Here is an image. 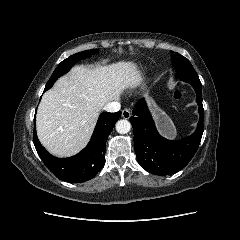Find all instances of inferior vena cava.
<instances>
[{
  "label": "inferior vena cava",
  "mask_w": 240,
  "mask_h": 240,
  "mask_svg": "<svg viewBox=\"0 0 240 240\" xmlns=\"http://www.w3.org/2000/svg\"><path fill=\"white\" fill-rule=\"evenodd\" d=\"M120 103L119 102H108L104 107L103 110L107 112H117L120 110Z\"/></svg>",
  "instance_id": "inferior-vena-cava-1"
}]
</instances>
